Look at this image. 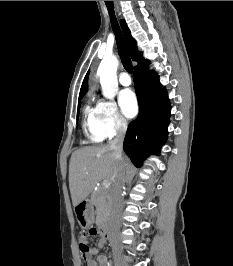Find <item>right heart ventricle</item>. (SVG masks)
<instances>
[{"mask_svg": "<svg viewBox=\"0 0 233 266\" xmlns=\"http://www.w3.org/2000/svg\"><path fill=\"white\" fill-rule=\"evenodd\" d=\"M98 119V105L92 106L91 103L88 102L84 108L83 127L87 138L93 143L101 142L104 139L97 129Z\"/></svg>", "mask_w": 233, "mask_h": 266, "instance_id": "obj_1", "label": "right heart ventricle"}]
</instances>
